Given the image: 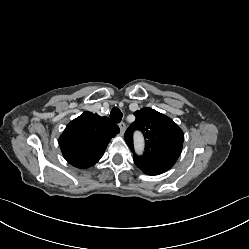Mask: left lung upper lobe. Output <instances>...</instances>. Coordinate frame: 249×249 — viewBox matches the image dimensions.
I'll use <instances>...</instances> for the list:
<instances>
[{
    "label": "left lung upper lobe",
    "mask_w": 249,
    "mask_h": 249,
    "mask_svg": "<svg viewBox=\"0 0 249 249\" xmlns=\"http://www.w3.org/2000/svg\"><path fill=\"white\" fill-rule=\"evenodd\" d=\"M136 120L125 133V140L133 150V132L140 130L145 137V152L134 154L133 159L139 169L147 175H159L169 170L182 151L184 135L179 126L169 117L152 108H142L134 112Z\"/></svg>",
    "instance_id": "obj_1"
}]
</instances>
